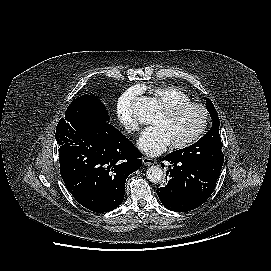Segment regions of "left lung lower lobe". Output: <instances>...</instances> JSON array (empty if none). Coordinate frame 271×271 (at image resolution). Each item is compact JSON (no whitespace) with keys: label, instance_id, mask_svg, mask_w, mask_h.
I'll return each mask as SVG.
<instances>
[{"label":"left lung lower lobe","instance_id":"obj_1","mask_svg":"<svg viewBox=\"0 0 271 271\" xmlns=\"http://www.w3.org/2000/svg\"><path fill=\"white\" fill-rule=\"evenodd\" d=\"M163 160L171 163L168 166L166 185L157 189L162 204L175 212H186L202 205L215 189L219 175L203 166L181 160L172 153ZM164 167V164H162Z\"/></svg>","mask_w":271,"mask_h":271}]
</instances>
